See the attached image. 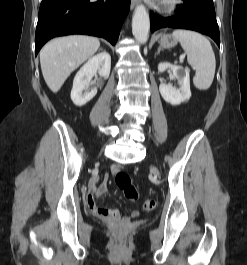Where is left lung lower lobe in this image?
<instances>
[{"label": "left lung lower lobe", "mask_w": 247, "mask_h": 265, "mask_svg": "<svg viewBox=\"0 0 247 265\" xmlns=\"http://www.w3.org/2000/svg\"><path fill=\"white\" fill-rule=\"evenodd\" d=\"M184 4L172 17H159L150 13L151 32L171 27L198 31L210 36L220 47L219 28L212 0H183Z\"/></svg>", "instance_id": "obj_1"}]
</instances>
